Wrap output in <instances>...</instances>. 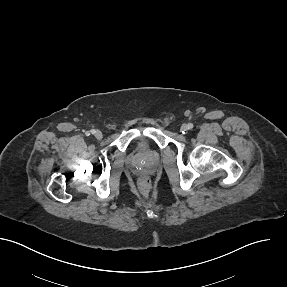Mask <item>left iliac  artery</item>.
Masks as SVG:
<instances>
[{
  "label": "left iliac artery",
  "mask_w": 287,
  "mask_h": 287,
  "mask_svg": "<svg viewBox=\"0 0 287 287\" xmlns=\"http://www.w3.org/2000/svg\"><path fill=\"white\" fill-rule=\"evenodd\" d=\"M193 128V124L192 123H189L188 124V129H192Z\"/></svg>",
  "instance_id": "44dca946"
}]
</instances>
